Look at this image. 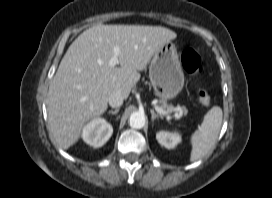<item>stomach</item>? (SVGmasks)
Masks as SVG:
<instances>
[{
	"label": "stomach",
	"mask_w": 272,
	"mask_h": 198,
	"mask_svg": "<svg viewBox=\"0 0 272 198\" xmlns=\"http://www.w3.org/2000/svg\"><path fill=\"white\" fill-rule=\"evenodd\" d=\"M149 78L158 96L164 101L175 98L181 92L184 73L175 44L168 42L154 54Z\"/></svg>",
	"instance_id": "stomach-1"
}]
</instances>
